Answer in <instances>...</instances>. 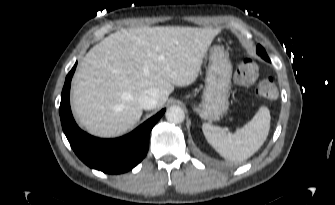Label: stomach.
I'll list each match as a JSON object with an SVG mask.
<instances>
[{"mask_svg": "<svg viewBox=\"0 0 335 205\" xmlns=\"http://www.w3.org/2000/svg\"><path fill=\"white\" fill-rule=\"evenodd\" d=\"M232 64L224 47L214 45L209 49V65L206 72V86L202 103L193 106L201 118L218 120L228 109Z\"/></svg>", "mask_w": 335, "mask_h": 205, "instance_id": "stomach-1", "label": "stomach"}]
</instances>
